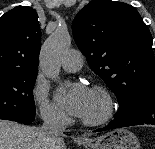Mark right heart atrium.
Here are the masks:
<instances>
[{
  "label": "right heart atrium",
  "instance_id": "1",
  "mask_svg": "<svg viewBox=\"0 0 155 149\" xmlns=\"http://www.w3.org/2000/svg\"><path fill=\"white\" fill-rule=\"evenodd\" d=\"M33 93L44 121L56 125H63L67 122L68 117L64 110L49 101L45 85L37 82L34 86Z\"/></svg>",
  "mask_w": 155,
  "mask_h": 149
}]
</instances>
